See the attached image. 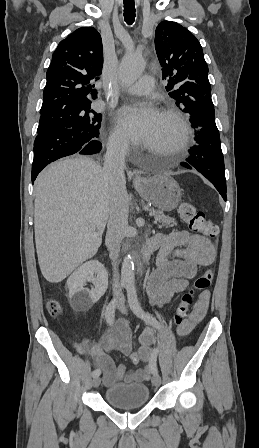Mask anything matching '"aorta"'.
<instances>
[{
	"instance_id": "obj_1",
	"label": "aorta",
	"mask_w": 259,
	"mask_h": 448,
	"mask_svg": "<svg viewBox=\"0 0 259 448\" xmlns=\"http://www.w3.org/2000/svg\"><path fill=\"white\" fill-rule=\"evenodd\" d=\"M145 61L136 54H127L119 66V78L123 85H131L143 73ZM134 262L131 255L125 256L121 268V282L129 293L135 292Z\"/></svg>"
}]
</instances>
